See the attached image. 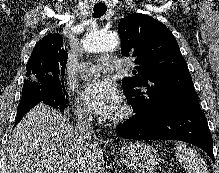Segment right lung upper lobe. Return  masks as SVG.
Wrapping results in <instances>:
<instances>
[{
    "mask_svg": "<svg viewBox=\"0 0 219 173\" xmlns=\"http://www.w3.org/2000/svg\"><path fill=\"white\" fill-rule=\"evenodd\" d=\"M68 54L63 49V37L60 34H48L34 47L29 62L59 65L65 69Z\"/></svg>",
    "mask_w": 219,
    "mask_h": 173,
    "instance_id": "obj_1",
    "label": "right lung upper lobe"
}]
</instances>
